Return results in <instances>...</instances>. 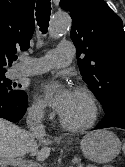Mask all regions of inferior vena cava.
Returning <instances> with one entry per match:
<instances>
[{"instance_id":"inferior-vena-cava-1","label":"inferior vena cava","mask_w":125,"mask_h":167,"mask_svg":"<svg viewBox=\"0 0 125 167\" xmlns=\"http://www.w3.org/2000/svg\"><path fill=\"white\" fill-rule=\"evenodd\" d=\"M43 110L41 108H33L28 111L27 125L31 132L35 135H44L45 127L42 124Z\"/></svg>"}]
</instances>
